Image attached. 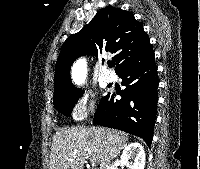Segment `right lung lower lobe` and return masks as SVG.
Segmentation results:
<instances>
[{"mask_svg":"<svg viewBox=\"0 0 200 169\" xmlns=\"http://www.w3.org/2000/svg\"><path fill=\"white\" fill-rule=\"evenodd\" d=\"M156 70L154 54L120 70L117 74L126 86L122 98L109 94L102 98L94 123L141 137L150 146L157 112Z\"/></svg>","mask_w":200,"mask_h":169,"instance_id":"1","label":"right lung lower lobe"}]
</instances>
